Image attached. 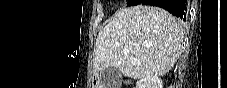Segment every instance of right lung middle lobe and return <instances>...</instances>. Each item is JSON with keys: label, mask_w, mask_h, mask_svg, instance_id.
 <instances>
[{"label": "right lung middle lobe", "mask_w": 227, "mask_h": 88, "mask_svg": "<svg viewBox=\"0 0 227 88\" xmlns=\"http://www.w3.org/2000/svg\"><path fill=\"white\" fill-rule=\"evenodd\" d=\"M141 2V0H129L128 5H137Z\"/></svg>", "instance_id": "dd1d6c3e"}]
</instances>
